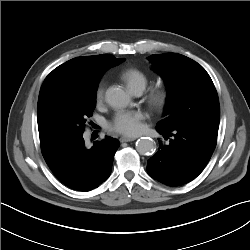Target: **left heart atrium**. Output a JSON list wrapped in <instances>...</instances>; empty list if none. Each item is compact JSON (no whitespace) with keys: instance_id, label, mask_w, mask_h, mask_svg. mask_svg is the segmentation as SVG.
Instances as JSON below:
<instances>
[{"instance_id":"obj_1","label":"left heart atrium","mask_w":250,"mask_h":250,"mask_svg":"<svg viewBox=\"0 0 250 250\" xmlns=\"http://www.w3.org/2000/svg\"><path fill=\"white\" fill-rule=\"evenodd\" d=\"M146 118L141 111H119L110 122L112 130L125 136H137L143 130L142 121Z\"/></svg>"}]
</instances>
